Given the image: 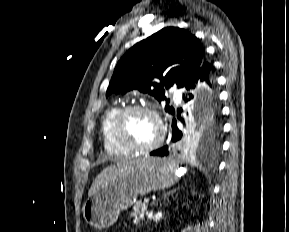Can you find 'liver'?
<instances>
[{"instance_id": "1", "label": "liver", "mask_w": 289, "mask_h": 232, "mask_svg": "<svg viewBox=\"0 0 289 232\" xmlns=\"http://www.w3.org/2000/svg\"><path fill=\"white\" fill-rule=\"evenodd\" d=\"M141 162V159L127 160L116 165H111L104 169L93 181L88 196H92L94 193L99 191L106 183L114 179L116 176H119L127 172L133 165Z\"/></svg>"}]
</instances>
